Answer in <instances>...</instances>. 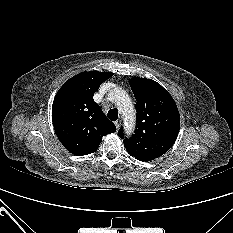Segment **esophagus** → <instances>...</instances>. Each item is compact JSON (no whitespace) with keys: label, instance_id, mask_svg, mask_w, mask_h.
<instances>
[{"label":"esophagus","instance_id":"esophagus-1","mask_svg":"<svg viewBox=\"0 0 233 233\" xmlns=\"http://www.w3.org/2000/svg\"><path fill=\"white\" fill-rule=\"evenodd\" d=\"M116 128L119 129L120 125H121V120H117L115 122Z\"/></svg>","mask_w":233,"mask_h":233}]
</instances>
